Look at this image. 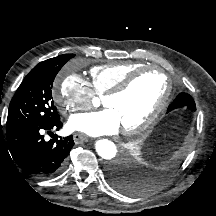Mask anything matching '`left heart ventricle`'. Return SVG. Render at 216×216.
Returning <instances> with one entry per match:
<instances>
[{"label": "left heart ventricle", "mask_w": 216, "mask_h": 216, "mask_svg": "<svg viewBox=\"0 0 216 216\" xmlns=\"http://www.w3.org/2000/svg\"><path fill=\"white\" fill-rule=\"evenodd\" d=\"M165 91V80L158 71L138 76L122 95L103 100L119 117L120 127L139 124L158 105Z\"/></svg>", "instance_id": "obj_1"}]
</instances>
